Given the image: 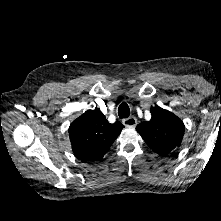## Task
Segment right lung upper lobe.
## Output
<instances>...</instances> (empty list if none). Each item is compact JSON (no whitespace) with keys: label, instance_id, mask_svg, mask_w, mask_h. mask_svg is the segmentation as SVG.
<instances>
[{"label":"right lung upper lobe","instance_id":"1","mask_svg":"<svg viewBox=\"0 0 221 221\" xmlns=\"http://www.w3.org/2000/svg\"><path fill=\"white\" fill-rule=\"evenodd\" d=\"M124 128L116 122L110 124L99 110H88L69 127L74 154L83 162L100 160Z\"/></svg>","mask_w":221,"mask_h":221}]
</instances>
